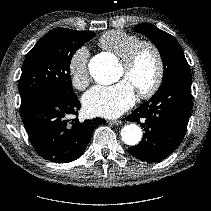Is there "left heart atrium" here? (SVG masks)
Returning <instances> with one entry per match:
<instances>
[{
	"label": "left heart atrium",
	"instance_id": "39dd6f15",
	"mask_svg": "<svg viewBox=\"0 0 211 211\" xmlns=\"http://www.w3.org/2000/svg\"><path fill=\"white\" fill-rule=\"evenodd\" d=\"M136 92L133 85L123 79L109 85H96L82 98L85 112L90 116L114 118L134 105Z\"/></svg>",
	"mask_w": 211,
	"mask_h": 211
}]
</instances>
